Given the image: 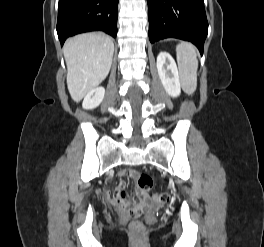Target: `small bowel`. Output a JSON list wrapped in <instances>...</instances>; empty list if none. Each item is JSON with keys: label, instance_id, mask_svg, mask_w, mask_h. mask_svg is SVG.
<instances>
[{"label": "small bowel", "instance_id": "obj_1", "mask_svg": "<svg viewBox=\"0 0 264 247\" xmlns=\"http://www.w3.org/2000/svg\"><path fill=\"white\" fill-rule=\"evenodd\" d=\"M128 174L130 176H135L136 175V171L134 170H130L128 172ZM137 195L139 198H144L146 197V195L144 194V192L138 190L137 191ZM126 201V193L124 191V185L123 184H120L114 191L113 193V196H112V202L117 204V205H120V204H123L125 203Z\"/></svg>", "mask_w": 264, "mask_h": 247}]
</instances>
